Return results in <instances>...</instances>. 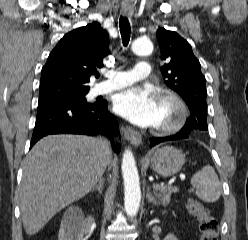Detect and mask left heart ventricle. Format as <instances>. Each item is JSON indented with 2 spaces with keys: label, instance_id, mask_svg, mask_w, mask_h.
Masks as SVG:
<instances>
[{
  "label": "left heart ventricle",
  "instance_id": "obj_1",
  "mask_svg": "<svg viewBox=\"0 0 248 240\" xmlns=\"http://www.w3.org/2000/svg\"><path fill=\"white\" fill-rule=\"evenodd\" d=\"M159 112L160 124H162L174 116L175 109L169 102L159 100Z\"/></svg>",
  "mask_w": 248,
  "mask_h": 240
}]
</instances>
